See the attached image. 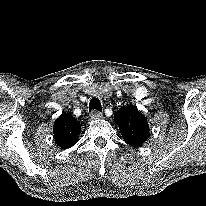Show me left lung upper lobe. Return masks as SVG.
I'll list each match as a JSON object with an SVG mask.
<instances>
[{
	"label": "left lung upper lobe",
	"instance_id": "5c2ea615",
	"mask_svg": "<svg viewBox=\"0 0 206 206\" xmlns=\"http://www.w3.org/2000/svg\"><path fill=\"white\" fill-rule=\"evenodd\" d=\"M122 137L131 146L140 147L149 138V124L146 117L135 107H121L114 114Z\"/></svg>",
	"mask_w": 206,
	"mask_h": 206
}]
</instances>
